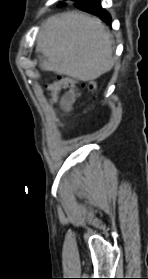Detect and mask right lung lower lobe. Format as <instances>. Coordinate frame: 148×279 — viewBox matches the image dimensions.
Segmentation results:
<instances>
[{
    "mask_svg": "<svg viewBox=\"0 0 148 279\" xmlns=\"http://www.w3.org/2000/svg\"><path fill=\"white\" fill-rule=\"evenodd\" d=\"M60 5H65L60 3ZM79 9L97 15L103 21L111 22L110 15L101 7L99 0H78L75 4Z\"/></svg>",
    "mask_w": 148,
    "mask_h": 279,
    "instance_id": "obj_1",
    "label": "right lung lower lobe"
}]
</instances>
